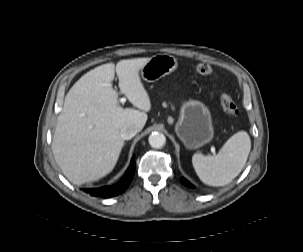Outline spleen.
<instances>
[{
	"label": "spleen",
	"instance_id": "spleen-1",
	"mask_svg": "<svg viewBox=\"0 0 303 252\" xmlns=\"http://www.w3.org/2000/svg\"><path fill=\"white\" fill-rule=\"evenodd\" d=\"M251 150L247 132L239 131L230 137L216 156L195 153L192 164L200 180L210 186H224L241 172Z\"/></svg>",
	"mask_w": 303,
	"mask_h": 252
}]
</instances>
